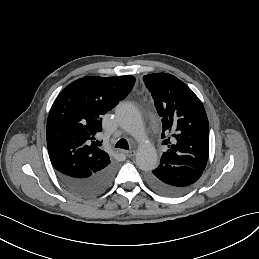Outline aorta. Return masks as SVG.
<instances>
[{"mask_svg":"<svg viewBox=\"0 0 259 259\" xmlns=\"http://www.w3.org/2000/svg\"><path fill=\"white\" fill-rule=\"evenodd\" d=\"M116 117L120 126L139 142L136 152L138 168L143 171L155 169L158 164L157 152L145 136L143 120L138 109L131 103H121L116 108Z\"/></svg>","mask_w":259,"mask_h":259,"instance_id":"obj_1","label":"aorta"}]
</instances>
